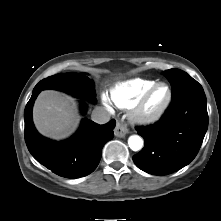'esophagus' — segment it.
<instances>
[{
  "instance_id": "esophagus-1",
  "label": "esophagus",
  "mask_w": 221,
  "mask_h": 221,
  "mask_svg": "<svg viewBox=\"0 0 221 221\" xmlns=\"http://www.w3.org/2000/svg\"><path fill=\"white\" fill-rule=\"evenodd\" d=\"M128 133V129L126 128V126L121 123V122H117L116 123V127L114 129V134L116 137H124L126 134Z\"/></svg>"
}]
</instances>
